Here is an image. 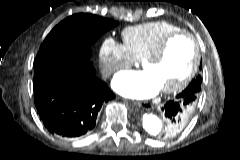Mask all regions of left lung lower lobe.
Masks as SVG:
<instances>
[{
	"mask_svg": "<svg viewBox=\"0 0 240 160\" xmlns=\"http://www.w3.org/2000/svg\"><path fill=\"white\" fill-rule=\"evenodd\" d=\"M195 87V82L194 84H190L184 91L178 94L174 100L168 101L162 108L171 129L175 130L183 126L185 123L182 114L190 110L194 111L198 98Z\"/></svg>",
	"mask_w": 240,
	"mask_h": 160,
	"instance_id": "1",
	"label": "left lung lower lobe"
}]
</instances>
